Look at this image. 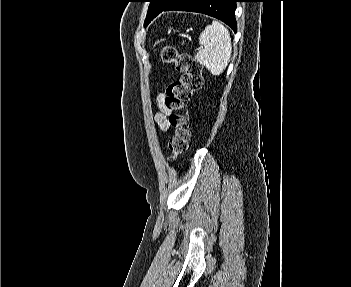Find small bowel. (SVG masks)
<instances>
[{"mask_svg":"<svg viewBox=\"0 0 351 287\" xmlns=\"http://www.w3.org/2000/svg\"><path fill=\"white\" fill-rule=\"evenodd\" d=\"M158 104L160 112L156 115V121L163 131H167L169 129V122L167 119V111L164 108L163 97L161 95L158 97Z\"/></svg>","mask_w":351,"mask_h":287,"instance_id":"small-bowel-1","label":"small bowel"}]
</instances>
